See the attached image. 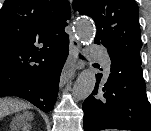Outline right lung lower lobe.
<instances>
[{"label": "right lung lower lobe", "mask_w": 151, "mask_h": 131, "mask_svg": "<svg viewBox=\"0 0 151 131\" xmlns=\"http://www.w3.org/2000/svg\"><path fill=\"white\" fill-rule=\"evenodd\" d=\"M69 39L56 44L49 51L44 66L31 76L8 88L0 97L25 99L44 112H49L56 102L61 70L68 56Z\"/></svg>", "instance_id": "obj_1"}]
</instances>
